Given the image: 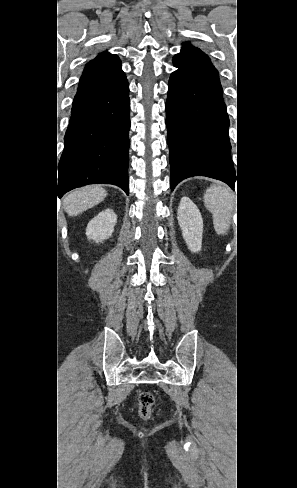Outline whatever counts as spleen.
I'll use <instances>...</instances> for the list:
<instances>
[{"mask_svg":"<svg viewBox=\"0 0 297 488\" xmlns=\"http://www.w3.org/2000/svg\"><path fill=\"white\" fill-rule=\"evenodd\" d=\"M208 210L213 214V224L217 233H223L228 228L233 199L230 193L218 186L210 187L204 196Z\"/></svg>","mask_w":297,"mask_h":488,"instance_id":"spleen-1","label":"spleen"}]
</instances>
